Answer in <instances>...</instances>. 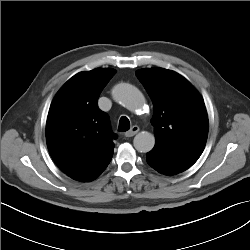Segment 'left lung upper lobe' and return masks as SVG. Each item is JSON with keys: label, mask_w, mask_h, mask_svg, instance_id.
<instances>
[{"label": "left lung upper lobe", "mask_w": 250, "mask_h": 250, "mask_svg": "<svg viewBox=\"0 0 250 250\" xmlns=\"http://www.w3.org/2000/svg\"><path fill=\"white\" fill-rule=\"evenodd\" d=\"M153 105L154 148L201 155L208 136V116L197 90L180 74L148 68L136 72Z\"/></svg>", "instance_id": "5c2ea615"}]
</instances>
